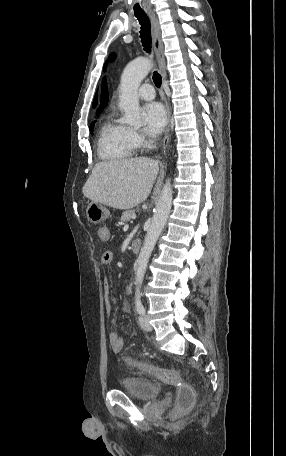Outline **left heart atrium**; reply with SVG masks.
Wrapping results in <instances>:
<instances>
[{
  "label": "left heart atrium",
  "instance_id": "1",
  "mask_svg": "<svg viewBox=\"0 0 286 456\" xmlns=\"http://www.w3.org/2000/svg\"><path fill=\"white\" fill-rule=\"evenodd\" d=\"M142 117L148 134L156 136L162 132L166 124V112L160 103L146 104L142 109Z\"/></svg>",
  "mask_w": 286,
  "mask_h": 456
}]
</instances>
